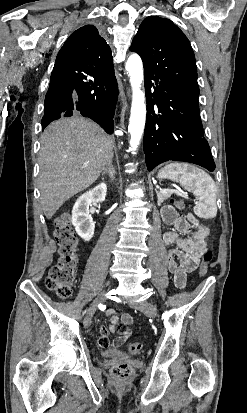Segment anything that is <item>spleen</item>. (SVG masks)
<instances>
[{
  "mask_svg": "<svg viewBox=\"0 0 247 413\" xmlns=\"http://www.w3.org/2000/svg\"><path fill=\"white\" fill-rule=\"evenodd\" d=\"M176 164L177 170H171L170 164H165L163 168H160L158 172L159 178L177 180L186 190H192L194 196L199 198L200 202V204H197V207H195V211H198L199 207H202L206 217H216L217 188L210 174H207V172L201 170V168L192 166V164H187V162H176Z\"/></svg>",
  "mask_w": 247,
  "mask_h": 413,
  "instance_id": "obj_1",
  "label": "spleen"
}]
</instances>
